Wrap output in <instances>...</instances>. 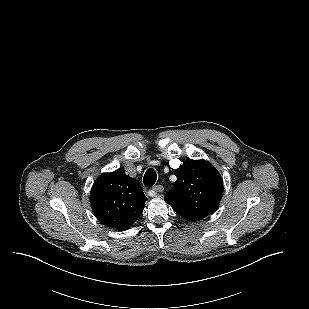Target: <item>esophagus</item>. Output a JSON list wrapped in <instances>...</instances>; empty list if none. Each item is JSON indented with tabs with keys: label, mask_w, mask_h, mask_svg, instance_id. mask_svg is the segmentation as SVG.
<instances>
[{
	"label": "esophagus",
	"mask_w": 309,
	"mask_h": 309,
	"mask_svg": "<svg viewBox=\"0 0 309 309\" xmlns=\"http://www.w3.org/2000/svg\"><path fill=\"white\" fill-rule=\"evenodd\" d=\"M152 190L155 194H158L163 192L164 187L162 185H155Z\"/></svg>",
	"instance_id": "1"
}]
</instances>
